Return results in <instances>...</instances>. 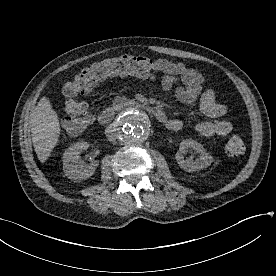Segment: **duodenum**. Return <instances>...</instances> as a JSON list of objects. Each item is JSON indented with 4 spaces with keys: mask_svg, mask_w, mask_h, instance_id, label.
Wrapping results in <instances>:
<instances>
[{
    "mask_svg": "<svg viewBox=\"0 0 276 276\" xmlns=\"http://www.w3.org/2000/svg\"><path fill=\"white\" fill-rule=\"evenodd\" d=\"M135 107L146 111L161 123H166L168 120L165 112L157 106L136 105ZM116 114H117V111L115 108L113 107L106 108L100 112L98 116V121L103 125H108L115 119Z\"/></svg>",
    "mask_w": 276,
    "mask_h": 276,
    "instance_id": "duodenum-1",
    "label": "duodenum"
}]
</instances>
